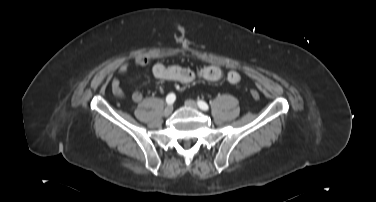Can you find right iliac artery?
<instances>
[{"label":"right iliac artery","instance_id":"obj_1","mask_svg":"<svg viewBox=\"0 0 376 202\" xmlns=\"http://www.w3.org/2000/svg\"><path fill=\"white\" fill-rule=\"evenodd\" d=\"M175 100H176V96H175L174 93H170V94H168L167 97H166V102H167V104H169V105L173 104V103L175 102Z\"/></svg>","mask_w":376,"mask_h":202}]
</instances>
